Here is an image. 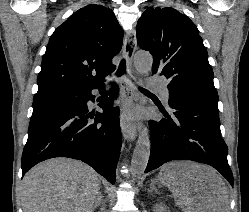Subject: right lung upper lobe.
Segmentation results:
<instances>
[{"instance_id":"obj_1","label":"right lung upper lobe","mask_w":249,"mask_h":212,"mask_svg":"<svg viewBox=\"0 0 249 212\" xmlns=\"http://www.w3.org/2000/svg\"><path fill=\"white\" fill-rule=\"evenodd\" d=\"M123 30L113 11L88 5L52 34L37 77V97L101 84L115 70L112 58L122 47Z\"/></svg>"}]
</instances>
